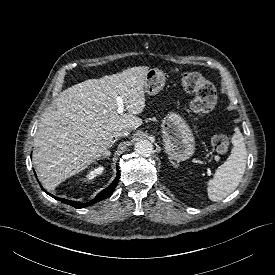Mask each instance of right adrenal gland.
Returning a JSON list of instances; mask_svg holds the SVG:
<instances>
[{"mask_svg":"<svg viewBox=\"0 0 275 275\" xmlns=\"http://www.w3.org/2000/svg\"><path fill=\"white\" fill-rule=\"evenodd\" d=\"M117 141H118V139L113 140L111 145L109 146V148H111L114 145V143ZM110 154H111V152L109 150H107L105 153H103V156L100 157L98 160L108 158L110 156Z\"/></svg>","mask_w":275,"mask_h":275,"instance_id":"right-adrenal-gland-1","label":"right adrenal gland"}]
</instances>
